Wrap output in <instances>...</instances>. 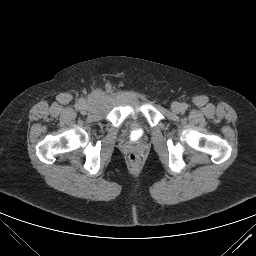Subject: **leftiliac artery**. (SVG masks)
I'll use <instances>...</instances> for the list:
<instances>
[{
	"instance_id": "1",
	"label": "left iliac artery",
	"mask_w": 256,
	"mask_h": 256,
	"mask_svg": "<svg viewBox=\"0 0 256 256\" xmlns=\"http://www.w3.org/2000/svg\"><path fill=\"white\" fill-rule=\"evenodd\" d=\"M181 106L182 110H186L188 108V105L186 103H182Z\"/></svg>"
}]
</instances>
